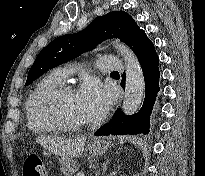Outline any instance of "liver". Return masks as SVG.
Returning <instances> with one entry per match:
<instances>
[{
    "label": "liver",
    "instance_id": "liver-1",
    "mask_svg": "<svg viewBox=\"0 0 205 176\" xmlns=\"http://www.w3.org/2000/svg\"><path fill=\"white\" fill-rule=\"evenodd\" d=\"M37 142L54 152L57 155L66 158L78 157L84 150L86 137L77 139H63L59 137H38Z\"/></svg>",
    "mask_w": 205,
    "mask_h": 176
}]
</instances>
